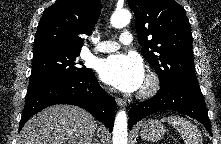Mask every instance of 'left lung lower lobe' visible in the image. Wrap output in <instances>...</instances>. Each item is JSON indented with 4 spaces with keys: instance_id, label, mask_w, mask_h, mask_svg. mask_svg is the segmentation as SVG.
I'll return each mask as SVG.
<instances>
[{
    "instance_id": "left-lung-lower-lobe-1",
    "label": "left lung lower lobe",
    "mask_w": 221,
    "mask_h": 144,
    "mask_svg": "<svg viewBox=\"0 0 221 144\" xmlns=\"http://www.w3.org/2000/svg\"><path fill=\"white\" fill-rule=\"evenodd\" d=\"M160 110H173L195 118L212 135L208 112L199 86L175 82L161 87L151 99L132 105L129 110V128Z\"/></svg>"
}]
</instances>
